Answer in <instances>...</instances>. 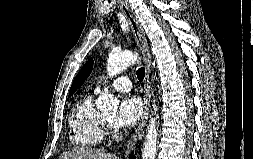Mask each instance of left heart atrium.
<instances>
[{"label": "left heart atrium", "instance_id": "obj_1", "mask_svg": "<svg viewBox=\"0 0 253 159\" xmlns=\"http://www.w3.org/2000/svg\"><path fill=\"white\" fill-rule=\"evenodd\" d=\"M143 106L136 96H126L122 99L114 125L118 128L132 127L141 118Z\"/></svg>", "mask_w": 253, "mask_h": 159}]
</instances>
